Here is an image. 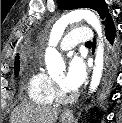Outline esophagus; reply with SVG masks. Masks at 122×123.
<instances>
[{"label": "esophagus", "mask_w": 122, "mask_h": 123, "mask_svg": "<svg viewBox=\"0 0 122 123\" xmlns=\"http://www.w3.org/2000/svg\"><path fill=\"white\" fill-rule=\"evenodd\" d=\"M64 114H65V115H69V114H70V112L66 111V112H64Z\"/></svg>", "instance_id": "1"}]
</instances>
